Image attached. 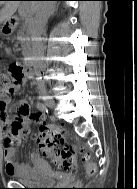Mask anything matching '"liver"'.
Listing matches in <instances>:
<instances>
[{
    "instance_id": "6515ba94",
    "label": "liver",
    "mask_w": 137,
    "mask_h": 189,
    "mask_svg": "<svg viewBox=\"0 0 137 189\" xmlns=\"http://www.w3.org/2000/svg\"><path fill=\"white\" fill-rule=\"evenodd\" d=\"M2 3H4V8L0 11V23H2L3 21L9 20L20 5L19 1H6V2L0 1V5ZM43 6H44V3L40 1L30 2L31 10L35 13Z\"/></svg>"
}]
</instances>
